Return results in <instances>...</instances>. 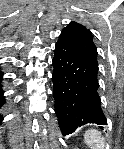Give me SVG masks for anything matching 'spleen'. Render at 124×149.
Listing matches in <instances>:
<instances>
[{"mask_svg":"<svg viewBox=\"0 0 124 149\" xmlns=\"http://www.w3.org/2000/svg\"><path fill=\"white\" fill-rule=\"evenodd\" d=\"M97 133V134H96ZM85 136H91L92 139H85V143L89 145L90 149H102L105 145L104 139L101 138L100 133L91 130L86 132Z\"/></svg>","mask_w":124,"mask_h":149,"instance_id":"spleen-1","label":"spleen"}]
</instances>
